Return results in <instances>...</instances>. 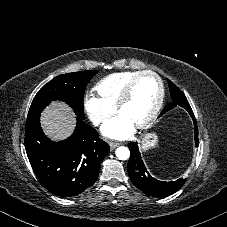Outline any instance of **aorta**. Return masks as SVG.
I'll return each mask as SVG.
<instances>
[{"label":"aorta","instance_id":"762f6f07","mask_svg":"<svg viewBox=\"0 0 227 227\" xmlns=\"http://www.w3.org/2000/svg\"><path fill=\"white\" fill-rule=\"evenodd\" d=\"M115 154L119 160H127L130 157V151L127 147L120 146L116 149Z\"/></svg>","mask_w":227,"mask_h":227}]
</instances>
